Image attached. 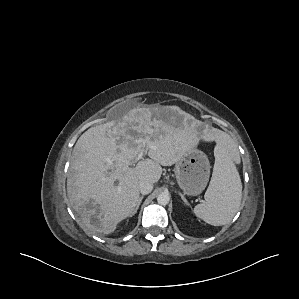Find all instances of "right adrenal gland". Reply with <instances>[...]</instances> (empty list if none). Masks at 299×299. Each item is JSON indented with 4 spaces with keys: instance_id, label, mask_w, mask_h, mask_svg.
Returning <instances> with one entry per match:
<instances>
[{
    "instance_id": "obj_1",
    "label": "right adrenal gland",
    "mask_w": 299,
    "mask_h": 299,
    "mask_svg": "<svg viewBox=\"0 0 299 299\" xmlns=\"http://www.w3.org/2000/svg\"><path fill=\"white\" fill-rule=\"evenodd\" d=\"M143 198H144V195H142V196L139 198V201H138V203H137V206H136V208L134 209V211L132 212V215H131V216H133L134 214L137 213V210L139 209V206H140V204H141Z\"/></svg>"
}]
</instances>
